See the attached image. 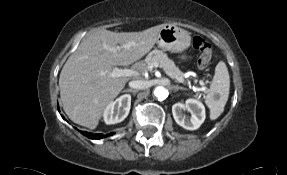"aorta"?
<instances>
[{
    "mask_svg": "<svg viewBox=\"0 0 287 175\" xmlns=\"http://www.w3.org/2000/svg\"><path fill=\"white\" fill-rule=\"evenodd\" d=\"M153 93H154L155 97L158 98V100H164L168 95L167 89L163 86L156 87L154 89Z\"/></svg>",
    "mask_w": 287,
    "mask_h": 175,
    "instance_id": "762f6f07",
    "label": "aorta"
}]
</instances>
